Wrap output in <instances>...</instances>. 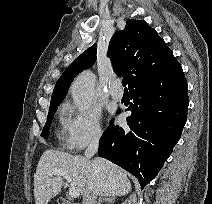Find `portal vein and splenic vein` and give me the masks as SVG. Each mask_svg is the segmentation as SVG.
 <instances>
[{"label":"portal vein and splenic vein","mask_w":212,"mask_h":204,"mask_svg":"<svg viewBox=\"0 0 212 204\" xmlns=\"http://www.w3.org/2000/svg\"><path fill=\"white\" fill-rule=\"evenodd\" d=\"M50 175L51 176L52 175L62 176V177H64L66 179V181L68 183H70L72 181L70 175L67 172L63 171L62 169H52L50 171ZM79 195H80V192H79V190L76 187H70V189H69V196L70 197L77 198V197H79Z\"/></svg>","instance_id":"obj_1"}]
</instances>
